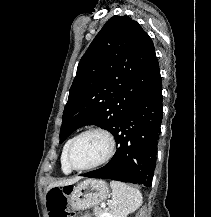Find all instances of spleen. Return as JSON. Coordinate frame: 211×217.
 Listing matches in <instances>:
<instances>
[{
  "mask_svg": "<svg viewBox=\"0 0 211 217\" xmlns=\"http://www.w3.org/2000/svg\"><path fill=\"white\" fill-rule=\"evenodd\" d=\"M110 186L112 189L111 212L114 216L126 217L142 205V194L136 188L114 180L110 182Z\"/></svg>",
  "mask_w": 211,
  "mask_h": 217,
  "instance_id": "3e777b00",
  "label": "spleen"
}]
</instances>
